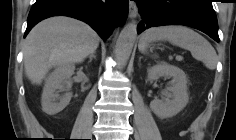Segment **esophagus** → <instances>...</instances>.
I'll use <instances>...</instances> for the list:
<instances>
[{
    "instance_id": "1",
    "label": "esophagus",
    "mask_w": 236,
    "mask_h": 140,
    "mask_svg": "<svg viewBox=\"0 0 236 140\" xmlns=\"http://www.w3.org/2000/svg\"><path fill=\"white\" fill-rule=\"evenodd\" d=\"M138 15V8L134 1H129V17L135 18Z\"/></svg>"
}]
</instances>
